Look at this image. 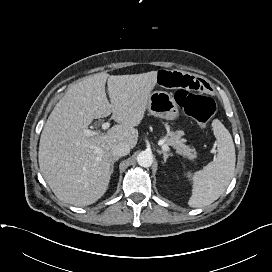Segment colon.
Wrapping results in <instances>:
<instances>
[{"mask_svg":"<svg viewBox=\"0 0 272 272\" xmlns=\"http://www.w3.org/2000/svg\"><path fill=\"white\" fill-rule=\"evenodd\" d=\"M175 99L184 113L193 118L199 125L205 127L216 112V105L212 98L189 92L178 90Z\"/></svg>","mask_w":272,"mask_h":272,"instance_id":"obj_1","label":"colon"}]
</instances>
